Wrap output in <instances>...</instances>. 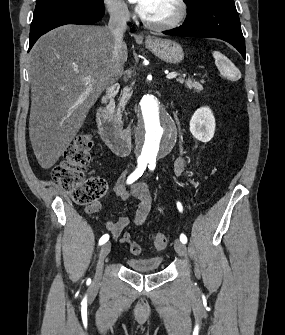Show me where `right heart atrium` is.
I'll use <instances>...</instances> for the list:
<instances>
[{
  "instance_id": "d8ad5b80",
  "label": "right heart atrium",
  "mask_w": 285,
  "mask_h": 335,
  "mask_svg": "<svg viewBox=\"0 0 285 335\" xmlns=\"http://www.w3.org/2000/svg\"><path fill=\"white\" fill-rule=\"evenodd\" d=\"M110 17L117 22H126L131 16V9L127 1H105Z\"/></svg>"
}]
</instances>
